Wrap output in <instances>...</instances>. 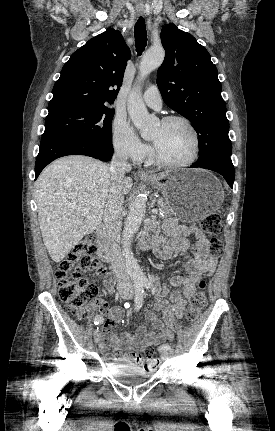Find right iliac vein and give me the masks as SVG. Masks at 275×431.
<instances>
[{"instance_id": "63e3f726", "label": "right iliac vein", "mask_w": 275, "mask_h": 431, "mask_svg": "<svg viewBox=\"0 0 275 431\" xmlns=\"http://www.w3.org/2000/svg\"><path fill=\"white\" fill-rule=\"evenodd\" d=\"M123 297L125 299L129 298L128 295H123ZM94 341H95V343H98L100 341V333H99V331H94Z\"/></svg>"}]
</instances>
